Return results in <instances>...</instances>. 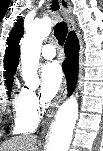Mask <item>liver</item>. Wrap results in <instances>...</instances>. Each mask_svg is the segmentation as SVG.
<instances>
[{"label": "liver", "instance_id": "1", "mask_svg": "<svg viewBox=\"0 0 103 151\" xmlns=\"http://www.w3.org/2000/svg\"><path fill=\"white\" fill-rule=\"evenodd\" d=\"M36 136H15L0 146V151H36Z\"/></svg>", "mask_w": 103, "mask_h": 151}]
</instances>
